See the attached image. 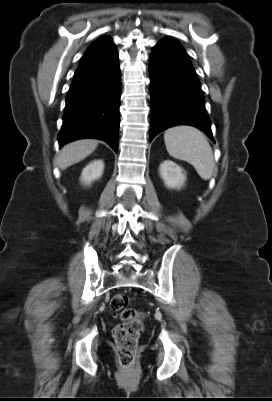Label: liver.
Wrapping results in <instances>:
<instances>
[{"label": "liver", "mask_w": 272, "mask_h": 401, "mask_svg": "<svg viewBox=\"0 0 272 401\" xmlns=\"http://www.w3.org/2000/svg\"><path fill=\"white\" fill-rule=\"evenodd\" d=\"M98 146L94 139H82L65 145L57 158L59 167L64 170L89 156Z\"/></svg>", "instance_id": "liver-1"}]
</instances>
